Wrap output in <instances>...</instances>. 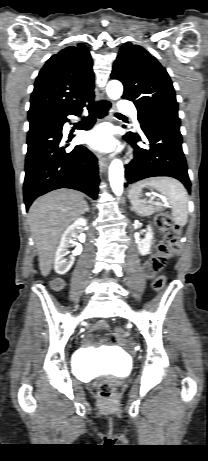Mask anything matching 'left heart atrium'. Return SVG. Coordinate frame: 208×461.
Listing matches in <instances>:
<instances>
[{"label":"left heart atrium","instance_id":"left-heart-atrium-1","mask_svg":"<svg viewBox=\"0 0 208 461\" xmlns=\"http://www.w3.org/2000/svg\"><path fill=\"white\" fill-rule=\"evenodd\" d=\"M87 142L95 149L110 150L114 147L115 141L109 128L101 126L91 132L87 137Z\"/></svg>","mask_w":208,"mask_h":461}]
</instances>
